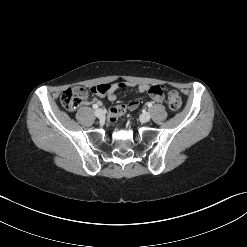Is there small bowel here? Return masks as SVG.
Listing matches in <instances>:
<instances>
[{
  "label": "small bowel",
  "instance_id": "obj_1",
  "mask_svg": "<svg viewBox=\"0 0 247 247\" xmlns=\"http://www.w3.org/2000/svg\"><path fill=\"white\" fill-rule=\"evenodd\" d=\"M152 86H155V85H148V84L137 85V84L132 83V82H118V83H114V84L110 85V88H109L108 92L106 93V95H107L109 100L116 101L120 97V95L117 93V90L121 89V88H129V87H137V90L140 93H147L149 95L148 92ZM86 97H87V94L85 96V99H86Z\"/></svg>",
  "mask_w": 247,
  "mask_h": 247
}]
</instances>
